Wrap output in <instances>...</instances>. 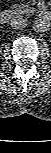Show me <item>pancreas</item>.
<instances>
[{
  "label": "pancreas",
  "instance_id": "pancreas-1",
  "mask_svg": "<svg viewBox=\"0 0 51 153\" xmlns=\"http://www.w3.org/2000/svg\"><path fill=\"white\" fill-rule=\"evenodd\" d=\"M13 13H19V14H28L29 12L32 11V8L27 6V5H18L15 4L13 6H11Z\"/></svg>",
  "mask_w": 51,
  "mask_h": 153
}]
</instances>
